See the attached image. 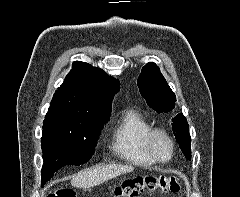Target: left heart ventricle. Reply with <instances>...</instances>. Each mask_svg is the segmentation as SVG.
<instances>
[{
    "instance_id": "b2bd125f",
    "label": "left heart ventricle",
    "mask_w": 240,
    "mask_h": 197,
    "mask_svg": "<svg viewBox=\"0 0 240 197\" xmlns=\"http://www.w3.org/2000/svg\"><path fill=\"white\" fill-rule=\"evenodd\" d=\"M154 147L161 158H168L170 154V144L163 136H157L155 138Z\"/></svg>"
}]
</instances>
